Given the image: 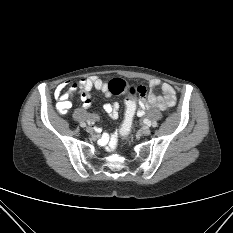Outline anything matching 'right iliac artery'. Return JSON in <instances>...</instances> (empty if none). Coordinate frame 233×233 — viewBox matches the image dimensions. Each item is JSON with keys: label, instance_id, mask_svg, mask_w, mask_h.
<instances>
[{"label": "right iliac artery", "instance_id": "right-iliac-artery-1", "mask_svg": "<svg viewBox=\"0 0 233 233\" xmlns=\"http://www.w3.org/2000/svg\"><path fill=\"white\" fill-rule=\"evenodd\" d=\"M80 126H81V127H85V126H86V123L81 122V123H80Z\"/></svg>", "mask_w": 233, "mask_h": 233}]
</instances>
